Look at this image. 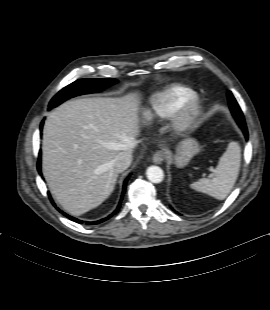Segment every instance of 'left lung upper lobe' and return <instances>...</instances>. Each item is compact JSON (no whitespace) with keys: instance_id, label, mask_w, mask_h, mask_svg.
Returning a JSON list of instances; mask_svg holds the SVG:
<instances>
[{"instance_id":"left-lung-upper-lobe-1","label":"left lung upper lobe","mask_w":270,"mask_h":310,"mask_svg":"<svg viewBox=\"0 0 270 310\" xmlns=\"http://www.w3.org/2000/svg\"><path fill=\"white\" fill-rule=\"evenodd\" d=\"M227 96H228V100L230 104V109H231V112L235 120L237 121L238 125L241 127L242 130H246L247 128H246L244 116L237 101L235 100L234 96L232 95L230 91L228 92Z\"/></svg>"}]
</instances>
